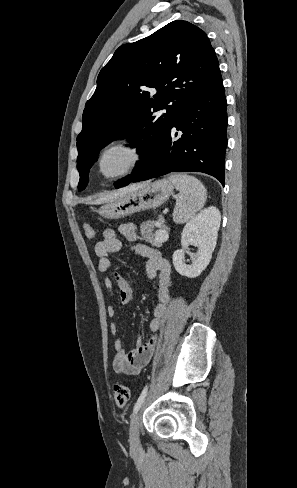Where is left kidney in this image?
Instances as JSON below:
<instances>
[{
  "label": "left kidney",
  "mask_w": 297,
  "mask_h": 488,
  "mask_svg": "<svg viewBox=\"0 0 297 488\" xmlns=\"http://www.w3.org/2000/svg\"><path fill=\"white\" fill-rule=\"evenodd\" d=\"M221 215L216 207H208L191 218L185 225L181 244L182 249L173 253V265L182 276L195 278L208 266L216 246ZM196 246L197 253L192 263L184 262L188 246Z\"/></svg>",
  "instance_id": "1"
}]
</instances>
